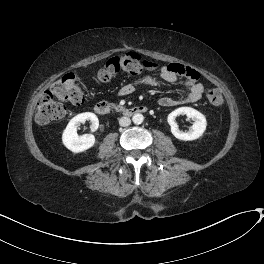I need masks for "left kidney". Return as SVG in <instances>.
I'll return each instance as SVG.
<instances>
[{
  "label": "left kidney",
  "instance_id": "obj_1",
  "mask_svg": "<svg viewBox=\"0 0 264 264\" xmlns=\"http://www.w3.org/2000/svg\"><path fill=\"white\" fill-rule=\"evenodd\" d=\"M179 115H186L188 118L193 120V125L191 130L188 132H183L179 130L175 118ZM169 125L171 126L172 134L179 140L191 141L198 139L203 135L206 130L207 121L205 116L191 107H180L172 111L167 118Z\"/></svg>",
  "mask_w": 264,
  "mask_h": 264
}]
</instances>
